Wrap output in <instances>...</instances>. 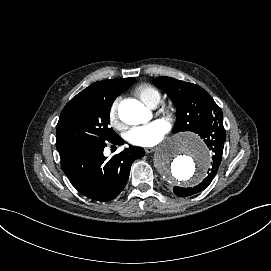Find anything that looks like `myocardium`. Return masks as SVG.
Wrapping results in <instances>:
<instances>
[{
    "label": "myocardium",
    "mask_w": 271,
    "mask_h": 271,
    "mask_svg": "<svg viewBox=\"0 0 271 271\" xmlns=\"http://www.w3.org/2000/svg\"><path fill=\"white\" fill-rule=\"evenodd\" d=\"M161 114L172 120L175 116V109L173 107H164L161 109Z\"/></svg>",
    "instance_id": "1"
}]
</instances>
